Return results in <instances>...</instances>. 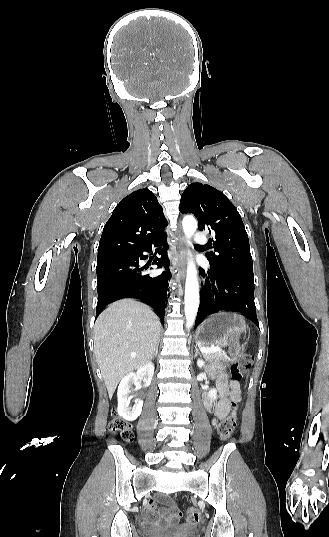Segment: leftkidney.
Here are the masks:
<instances>
[{
	"instance_id": "5707ae66",
	"label": "left kidney",
	"mask_w": 329,
	"mask_h": 537,
	"mask_svg": "<svg viewBox=\"0 0 329 537\" xmlns=\"http://www.w3.org/2000/svg\"><path fill=\"white\" fill-rule=\"evenodd\" d=\"M197 365H198V367H204V366H205V363H204L203 360L198 359V361H197ZM208 395H209V397H210L211 399L215 400V399L217 398V391H216V389H212V390H210Z\"/></svg>"
}]
</instances>
